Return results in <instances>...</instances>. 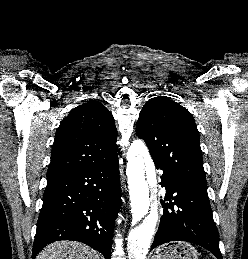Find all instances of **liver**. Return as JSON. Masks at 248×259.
<instances>
[{"label": "liver", "instance_id": "obj_1", "mask_svg": "<svg viewBox=\"0 0 248 259\" xmlns=\"http://www.w3.org/2000/svg\"><path fill=\"white\" fill-rule=\"evenodd\" d=\"M36 259H100V255L85 244L59 241L46 246Z\"/></svg>", "mask_w": 248, "mask_h": 259}]
</instances>
